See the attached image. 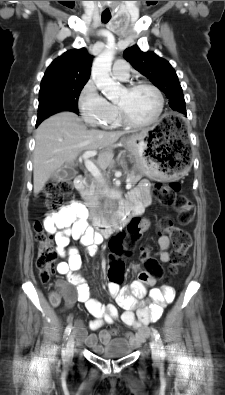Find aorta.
Wrapping results in <instances>:
<instances>
[{"label":"aorta","mask_w":225,"mask_h":395,"mask_svg":"<svg viewBox=\"0 0 225 395\" xmlns=\"http://www.w3.org/2000/svg\"><path fill=\"white\" fill-rule=\"evenodd\" d=\"M114 47L108 46L104 52L97 56L92 65L91 76L97 88L101 90L109 100L118 99L121 94V86L110 77L112 61L114 59ZM117 191H112V199L116 198ZM115 227L118 226L115 224Z\"/></svg>","instance_id":"obj_1"}]
</instances>
